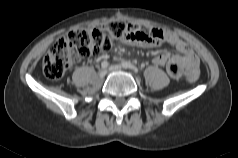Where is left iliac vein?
<instances>
[{"instance_id":"1","label":"left iliac vein","mask_w":238,"mask_h":158,"mask_svg":"<svg viewBox=\"0 0 238 158\" xmlns=\"http://www.w3.org/2000/svg\"><path fill=\"white\" fill-rule=\"evenodd\" d=\"M120 70H122V67L119 66V65H111L109 67V71H111V72H113V71H120Z\"/></svg>"}]
</instances>
